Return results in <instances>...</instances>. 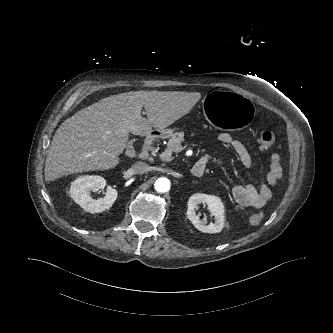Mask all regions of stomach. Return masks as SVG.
Wrapping results in <instances>:
<instances>
[{"label":"stomach","instance_id":"obj_1","mask_svg":"<svg viewBox=\"0 0 333 333\" xmlns=\"http://www.w3.org/2000/svg\"><path fill=\"white\" fill-rule=\"evenodd\" d=\"M204 117L208 124L227 133H240L253 120V106L247 98L231 91H217L204 101ZM163 136H170L172 129H162Z\"/></svg>","mask_w":333,"mask_h":333}]
</instances>
